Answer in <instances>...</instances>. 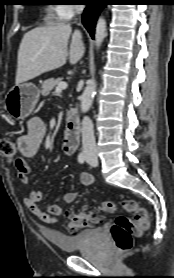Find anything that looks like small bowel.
Returning a JSON list of instances; mask_svg holds the SVG:
<instances>
[{"label": "small bowel", "instance_id": "1", "mask_svg": "<svg viewBox=\"0 0 174 278\" xmlns=\"http://www.w3.org/2000/svg\"><path fill=\"white\" fill-rule=\"evenodd\" d=\"M45 134L46 126L43 120L40 118H32L27 123L26 133L17 139L18 155L14 159V166L17 170L18 179L23 185L29 183L30 167L26 159L34 156L39 151ZM94 181V177L86 172L82 173L79 177V183L82 187L90 186ZM76 197L77 192H68L63 196V201L66 204H70ZM42 198V192L33 189L24 197V204L39 220L45 223H55L62 214L63 208L57 204H47L42 208L38 205L42 201Z\"/></svg>", "mask_w": 174, "mask_h": 278}]
</instances>
